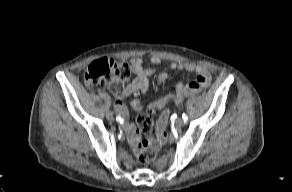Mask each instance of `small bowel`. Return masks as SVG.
Returning a JSON list of instances; mask_svg holds the SVG:
<instances>
[{
	"label": "small bowel",
	"instance_id": "1",
	"mask_svg": "<svg viewBox=\"0 0 292 192\" xmlns=\"http://www.w3.org/2000/svg\"><path fill=\"white\" fill-rule=\"evenodd\" d=\"M151 63L154 67L145 68L143 66V61L141 58L134 57L129 62V68L131 72L135 75L132 82L127 84L120 92L116 109L121 115L120 117L126 118V123H121V126L125 133L127 134L129 143L135 153H139L143 148L145 138L141 139V133H144L140 128L136 127L134 124L127 120V110L122 104V99L132 95L135 92H146L149 87V77L156 72V66L161 63V58L159 56H152ZM171 70H185L188 72H195L197 77L195 80L190 82L188 85L183 86V84H178L176 92L174 94H168L162 98L154 101L148 106L151 111L161 109L166 105L173 103L174 105H181L185 97L189 94L200 91L202 88L207 87L211 81V75L209 70L202 65H197L193 63H177L171 62L169 64ZM160 82H166L168 80V74L166 72H160L158 75ZM136 110L141 109V103L139 100H134L132 103ZM172 112L170 109L165 108L160 114V119L157 122L156 130L157 133L153 135V143L157 149H162L164 147V142L168 140V125L171 120ZM152 126L149 130L151 134ZM145 134V133H144Z\"/></svg>",
	"mask_w": 292,
	"mask_h": 192
}]
</instances>
